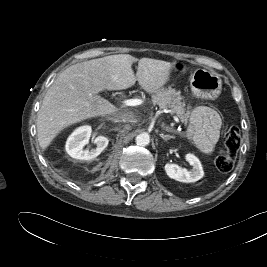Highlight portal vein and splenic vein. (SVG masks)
<instances>
[{
  "mask_svg": "<svg viewBox=\"0 0 267 267\" xmlns=\"http://www.w3.org/2000/svg\"><path fill=\"white\" fill-rule=\"evenodd\" d=\"M141 103H142L141 99H128V100L123 101V104L125 106H137V105H140ZM173 119L176 123H180V120L177 116H173Z\"/></svg>",
  "mask_w": 267,
  "mask_h": 267,
  "instance_id": "obj_1",
  "label": "portal vein and splenic vein"
}]
</instances>
